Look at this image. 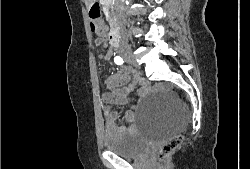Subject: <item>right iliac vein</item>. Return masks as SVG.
<instances>
[{
	"mask_svg": "<svg viewBox=\"0 0 250 169\" xmlns=\"http://www.w3.org/2000/svg\"><path fill=\"white\" fill-rule=\"evenodd\" d=\"M128 61H129V63H131V64H136L135 58H134L133 55H131V56L128 58Z\"/></svg>",
	"mask_w": 250,
	"mask_h": 169,
	"instance_id": "right-iliac-vein-1",
	"label": "right iliac vein"
}]
</instances>
